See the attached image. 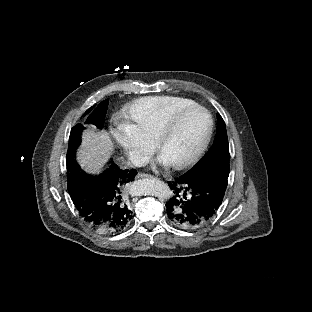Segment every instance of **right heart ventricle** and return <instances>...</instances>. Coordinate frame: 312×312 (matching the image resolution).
Wrapping results in <instances>:
<instances>
[{
  "mask_svg": "<svg viewBox=\"0 0 312 312\" xmlns=\"http://www.w3.org/2000/svg\"><path fill=\"white\" fill-rule=\"evenodd\" d=\"M195 105L190 93L150 94L140 93L125 103L131 127L146 145H154L159 140V131L168 123Z\"/></svg>",
  "mask_w": 312,
  "mask_h": 312,
  "instance_id": "right-heart-ventricle-1",
  "label": "right heart ventricle"
}]
</instances>
